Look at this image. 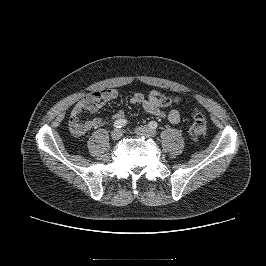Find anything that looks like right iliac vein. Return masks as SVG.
Here are the masks:
<instances>
[{
  "label": "right iliac vein",
  "instance_id": "obj_1",
  "mask_svg": "<svg viewBox=\"0 0 266 266\" xmlns=\"http://www.w3.org/2000/svg\"><path fill=\"white\" fill-rule=\"evenodd\" d=\"M121 137H122V131L120 129H115V130L112 131L111 138L114 141L119 140Z\"/></svg>",
  "mask_w": 266,
  "mask_h": 266
}]
</instances>
